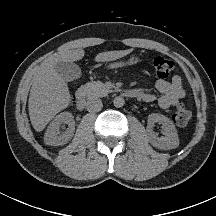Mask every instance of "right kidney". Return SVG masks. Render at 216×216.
Returning a JSON list of instances; mask_svg holds the SVG:
<instances>
[{
    "label": "right kidney",
    "mask_w": 216,
    "mask_h": 216,
    "mask_svg": "<svg viewBox=\"0 0 216 216\" xmlns=\"http://www.w3.org/2000/svg\"><path fill=\"white\" fill-rule=\"evenodd\" d=\"M62 123L68 124V130L59 135L60 125ZM74 117L69 112H62L57 115L53 121L49 124L46 133L44 135V142L47 145L59 146L66 144L72 137L74 131Z\"/></svg>",
    "instance_id": "ca27d5eb"
}]
</instances>
